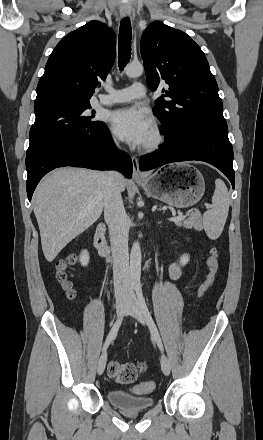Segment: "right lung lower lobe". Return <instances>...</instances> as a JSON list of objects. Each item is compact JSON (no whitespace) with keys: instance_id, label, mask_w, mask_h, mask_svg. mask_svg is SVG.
I'll return each mask as SVG.
<instances>
[{"instance_id":"98d812e1","label":"right lung lower lobe","mask_w":263,"mask_h":440,"mask_svg":"<svg viewBox=\"0 0 263 440\" xmlns=\"http://www.w3.org/2000/svg\"><path fill=\"white\" fill-rule=\"evenodd\" d=\"M116 155L117 159L114 158ZM63 166L95 170L116 169L128 178L132 176L130 156L116 150L107 126H104L94 133L57 139L27 155L26 188L29 201L41 178L49 171Z\"/></svg>"}]
</instances>
